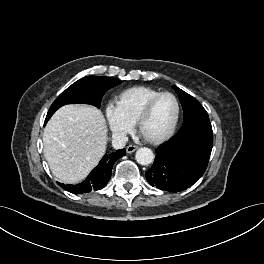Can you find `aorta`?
Segmentation results:
<instances>
[{"instance_id":"1","label":"aorta","mask_w":264,"mask_h":264,"mask_svg":"<svg viewBox=\"0 0 264 264\" xmlns=\"http://www.w3.org/2000/svg\"><path fill=\"white\" fill-rule=\"evenodd\" d=\"M136 161L141 165H149L154 160V154L149 148H140L135 154Z\"/></svg>"}]
</instances>
